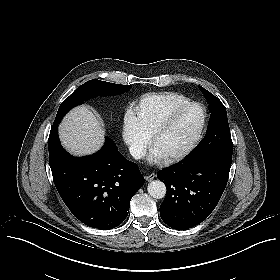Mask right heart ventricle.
Masks as SVG:
<instances>
[{"label":"right heart ventricle","instance_id":"1","mask_svg":"<svg viewBox=\"0 0 280 280\" xmlns=\"http://www.w3.org/2000/svg\"><path fill=\"white\" fill-rule=\"evenodd\" d=\"M187 98L183 95H170L162 98V106L168 108H178L186 102ZM147 135V134H146Z\"/></svg>","mask_w":280,"mask_h":280}]
</instances>
